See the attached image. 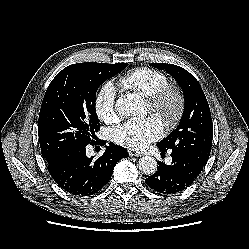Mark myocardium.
<instances>
[{
    "mask_svg": "<svg viewBox=\"0 0 249 249\" xmlns=\"http://www.w3.org/2000/svg\"><path fill=\"white\" fill-rule=\"evenodd\" d=\"M146 99L150 110L162 118L167 128L177 126L185 107V96L178 85L167 83Z\"/></svg>",
    "mask_w": 249,
    "mask_h": 249,
    "instance_id": "myocardium-1",
    "label": "myocardium"
}]
</instances>
